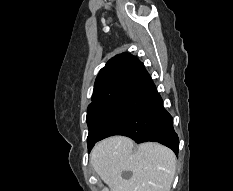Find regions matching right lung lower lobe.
Instances as JSON below:
<instances>
[{
    "label": "right lung lower lobe",
    "mask_w": 233,
    "mask_h": 191,
    "mask_svg": "<svg viewBox=\"0 0 233 191\" xmlns=\"http://www.w3.org/2000/svg\"><path fill=\"white\" fill-rule=\"evenodd\" d=\"M127 93L126 105L97 141L112 135H124L136 143L159 142L177 154L179 139L173 128L172 116L164 109L162 98L146 70Z\"/></svg>",
    "instance_id": "right-lung-lower-lobe-1"
}]
</instances>
